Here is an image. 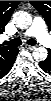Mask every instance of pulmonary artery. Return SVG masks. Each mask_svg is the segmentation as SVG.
Segmentation results:
<instances>
[{
  "instance_id": "e3ab8cb5",
  "label": "pulmonary artery",
  "mask_w": 51,
  "mask_h": 101,
  "mask_svg": "<svg viewBox=\"0 0 51 101\" xmlns=\"http://www.w3.org/2000/svg\"><path fill=\"white\" fill-rule=\"evenodd\" d=\"M26 34L28 35H34L36 36L39 40L44 41L45 35L42 29L41 22L36 20L32 26L27 30Z\"/></svg>"
}]
</instances>
